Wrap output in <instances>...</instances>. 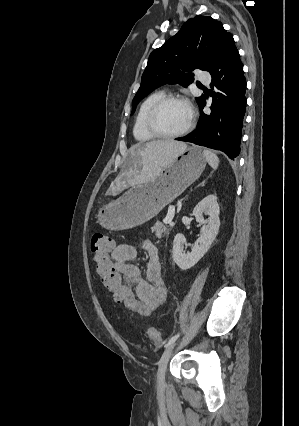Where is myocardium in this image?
Returning a JSON list of instances; mask_svg holds the SVG:
<instances>
[{
    "label": "myocardium",
    "instance_id": "1",
    "mask_svg": "<svg viewBox=\"0 0 299 426\" xmlns=\"http://www.w3.org/2000/svg\"><path fill=\"white\" fill-rule=\"evenodd\" d=\"M170 102H181L184 103L190 112V117H189V121L187 123V125L180 131L175 132V133H166L163 132L162 130L159 129L156 119L158 116V113L160 112V110L168 103ZM194 125V110L193 107L191 105V103L189 102V100L181 95H165L164 97L160 98L149 110L147 118H146V126L148 131L154 135L155 137L158 138H163V139H173V138H178L181 137L185 134H187L193 127Z\"/></svg>",
    "mask_w": 299,
    "mask_h": 426
}]
</instances>
